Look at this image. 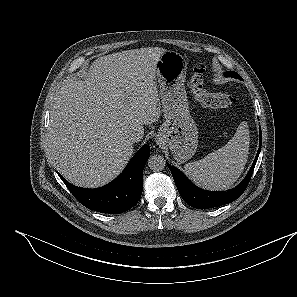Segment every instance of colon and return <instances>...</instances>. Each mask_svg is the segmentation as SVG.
I'll use <instances>...</instances> for the list:
<instances>
[{
  "label": "colon",
  "mask_w": 297,
  "mask_h": 297,
  "mask_svg": "<svg viewBox=\"0 0 297 297\" xmlns=\"http://www.w3.org/2000/svg\"><path fill=\"white\" fill-rule=\"evenodd\" d=\"M204 72L202 66L194 69L191 79L190 88L198 102L209 109L223 110L230 109L236 105V100L226 93H212L204 88Z\"/></svg>",
  "instance_id": "1"
}]
</instances>
